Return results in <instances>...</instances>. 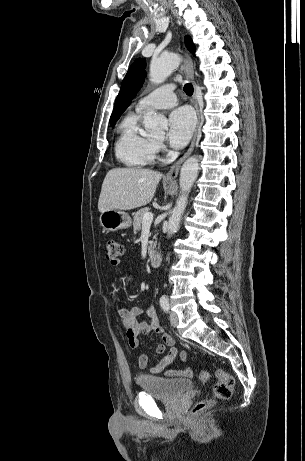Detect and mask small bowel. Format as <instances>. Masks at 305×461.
I'll return each mask as SVG.
<instances>
[{"label": "small bowel", "instance_id": "obj_1", "mask_svg": "<svg viewBox=\"0 0 305 461\" xmlns=\"http://www.w3.org/2000/svg\"><path fill=\"white\" fill-rule=\"evenodd\" d=\"M119 265L120 262L114 266ZM142 313L143 309L140 306L117 307L116 309V315L120 320L121 327L125 332L128 344L132 349H136L139 346L140 335H151L153 333L160 337V342L155 349L157 354L163 353L166 347H170L168 354L161 358L154 366L150 368L151 373L160 374L164 372L165 368L176 359L178 350L175 346L174 338L166 334L160 325V321L155 308L152 305L147 307V318L145 320L140 319ZM180 358L182 361H186L187 353L182 351L180 353ZM148 361V355L146 353H142L138 358L139 368L146 369L148 366ZM164 375L168 377H191L192 371L188 368L169 370L165 371Z\"/></svg>", "mask_w": 305, "mask_h": 461}]
</instances>
